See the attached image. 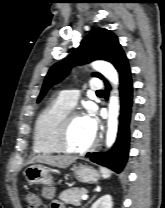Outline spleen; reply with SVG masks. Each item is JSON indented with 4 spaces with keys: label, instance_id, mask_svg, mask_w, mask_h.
Instances as JSON below:
<instances>
[{
    "label": "spleen",
    "instance_id": "3e777b00",
    "mask_svg": "<svg viewBox=\"0 0 165 208\" xmlns=\"http://www.w3.org/2000/svg\"><path fill=\"white\" fill-rule=\"evenodd\" d=\"M100 171H101V174H102V177L104 178V179H108L110 176H111V171L110 170H108V169H106V168H101L100 169Z\"/></svg>",
    "mask_w": 165,
    "mask_h": 208
}]
</instances>
